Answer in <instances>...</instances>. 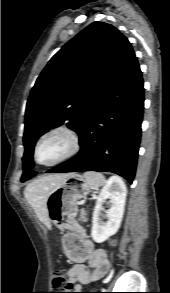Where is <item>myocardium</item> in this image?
Masks as SVG:
<instances>
[{"mask_svg":"<svg viewBox=\"0 0 170 293\" xmlns=\"http://www.w3.org/2000/svg\"><path fill=\"white\" fill-rule=\"evenodd\" d=\"M56 132H64L65 134L68 135V137L70 139L69 150L62 157H60L59 159H57L53 162L44 163V162L39 161V159H38L39 146L48 136H50ZM80 149H81V138H80L79 134L69 126L57 125V126H54L50 129H48L47 131H45L38 138V140L36 141V143L34 145L33 158H34V161L38 165L45 166V167H52V166H56V165H59L65 161L70 160L71 158H73L74 156L77 155V153L80 151Z\"/></svg>","mask_w":170,"mask_h":293,"instance_id":"f54148a6","label":"myocardium"}]
</instances>
